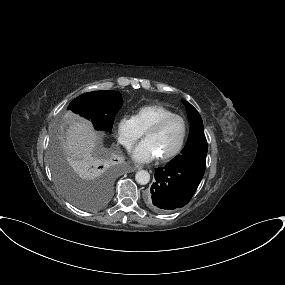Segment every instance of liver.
I'll use <instances>...</instances> for the list:
<instances>
[{
	"label": "liver",
	"mask_w": 285,
	"mask_h": 285,
	"mask_svg": "<svg viewBox=\"0 0 285 285\" xmlns=\"http://www.w3.org/2000/svg\"><path fill=\"white\" fill-rule=\"evenodd\" d=\"M65 135L64 150L67 160L80 173L82 162L94 153L101 135L83 118L72 119Z\"/></svg>",
	"instance_id": "1"
}]
</instances>
